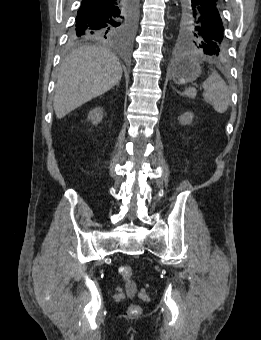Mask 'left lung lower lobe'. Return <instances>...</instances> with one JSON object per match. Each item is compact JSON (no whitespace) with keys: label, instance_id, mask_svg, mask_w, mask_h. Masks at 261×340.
<instances>
[{"label":"left lung lower lobe","instance_id":"0a47b994","mask_svg":"<svg viewBox=\"0 0 261 340\" xmlns=\"http://www.w3.org/2000/svg\"><path fill=\"white\" fill-rule=\"evenodd\" d=\"M191 5L204 18L215 17L217 12L222 9L221 0H191Z\"/></svg>","mask_w":261,"mask_h":340}]
</instances>
